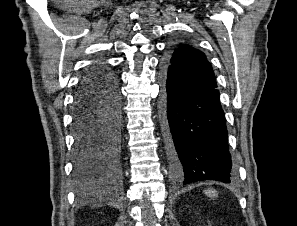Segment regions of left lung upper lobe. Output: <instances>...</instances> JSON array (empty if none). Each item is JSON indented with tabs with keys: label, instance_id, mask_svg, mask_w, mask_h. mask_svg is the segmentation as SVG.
<instances>
[{
	"label": "left lung upper lobe",
	"instance_id": "5c2ea615",
	"mask_svg": "<svg viewBox=\"0 0 297 226\" xmlns=\"http://www.w3.org/2000/svg\"><path fill=\"white\" fill-rule=\"evenodd\" d=\"M164 61L190 88L204 90L217 86L214 72L204 53L187 44L178 45Z\"/></svg>",
	"mask_w": 297,
	"mask_h": 226
}]
</instances>
